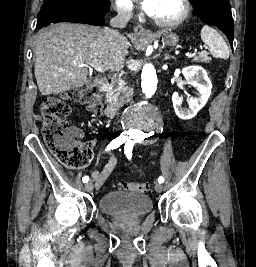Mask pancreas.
I'll list each match as a JSON object with an SVG mask.
<instances>
[{
  "instance_id": "1",
  "label": "pancreas",
  "mask_w": 256,
  "mask_h": 267,
  "mask_svg": "<svg viewBox=\"0 0 256 267\" xmlns=\"http://www.w3.org/2000/svg\"><path fill=\"white\" fill-rule=\"evenodd\" d=\"M195 60L196 62H205V64H209V62H211V58H209L206 52H202V54L196 56ZM122 86H123V80H121V78H114V80H112V92L110 96H108V98H110V100H114V98L118 100V96H120L122 92ZM126 92L127 94H129V96H132L133 94L132 88H128ZM116 104H118V102H115L114 106H116Z\"/></svg>"
}]
</instances>
